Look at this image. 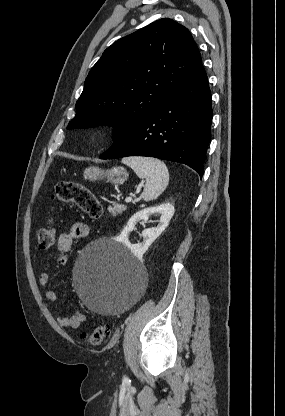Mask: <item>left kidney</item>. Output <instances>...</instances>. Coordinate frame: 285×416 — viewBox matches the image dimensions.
I'll use <instances>...</instances> for the list:
<instances>
[{
	"label": "left kidney",
	"instance_id": "obj_1",
	"mask_svg": "<svg viewBox=\"0 0 285 416\" xmlns=\"http://www.w3.org/2000/svg\"><path fill=\"white\" fill-rule=\"evenodd\" d=\"M174 212L175 208L172 206V204H161V206H155V208H144V210L136 212V214L130 218L124 230H122L119 236V242L125 244V246L131 250L134 256L141 258V256L145 254L146 250H148L149 246L153 244L154 240H156V238H158V236L164 232L165 228H167ZM150 214H161L160 222L157 228H148V230H143L141 234L143 242H141V244H131L128 238L130 232H133L136 222H139V220H144V222H147Z\"/></svg>",
	"mask_w": 285,
	"mask_h": 416
}]
</instances>
